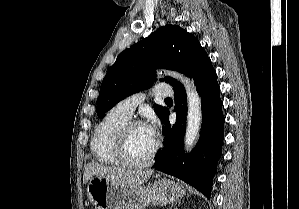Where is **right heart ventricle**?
<instances>
[{
	"label": "right heart ventricle",
	"instance_id": "e07e8e85",
	"mask_svg": "<svg viewBox=\"0 0 299 209\" xmlns=\"http://www.w3.org/2000/svg\"><path fill=\"white\" fill-rule=\"evenodd\" d=\"M129 120L116 107L111 109L96 125L91 141L95 158L105 164H118L115 156V137L120 127Z\"/></svg>",
	"mask_w": 299,
	"mask_h": 209
}]
</instances>
